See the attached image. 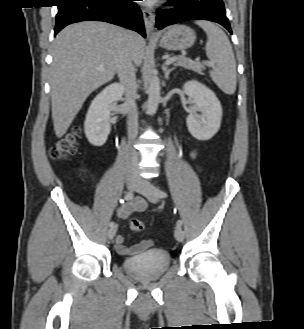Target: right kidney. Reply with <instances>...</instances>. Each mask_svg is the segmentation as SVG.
I'll use <instances>...</instances> for the list:
<instances>
[{"mask_svg":"<svg viewBox=\"0 0 304 329\" xmlns=\"http://www.w3.org/2000/svg\"><path fill=\"white\" fill-rule=\"evenodd\" d=\"M123 87L113 83L103 89L91 102L88 109L84 130L90 144L102 146L110 133V104L118 101L123 95Z\"/></svg>","mask_w":304,"mask_h":329,"instance_id":"obj_1","label":"right kidney"}]
</instances>
